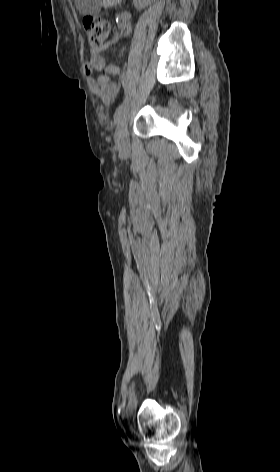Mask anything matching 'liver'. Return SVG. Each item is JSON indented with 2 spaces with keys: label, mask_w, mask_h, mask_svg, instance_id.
I'll return each instance as SVG.
<instances>
[{
  "label": "liver",
  "mask_w": 280,
  "mask_h": 472,
  "mask_svg": "<svg viewBox=\"0 0 280 472\" xmlns=\"http://www.w3.org/2000/svg\"><path fill=\"white\" fill-rule=\"evenodd\" d=\"M103 1L102 6L104 8H109L114 6L116 3H119L121 0H101Z\"/></svg>",
  "instance_id": "obj_1"
}]
</instances>
